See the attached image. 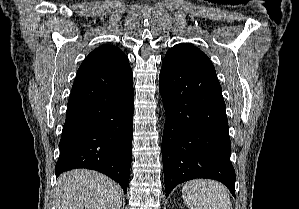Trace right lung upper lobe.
Instances as JSON below:
<instances>
[{
    "mask_svg": "<svg viewBox=\"0 0 299 209\" xmlns=\"http://www.w3.org/2000/svg\"><path fill=\"white\" fill-rule=\"evenodd\" d=\"M114 70L121 77L132 73L126 55L113 45H103L93 50L82 62L78 72Z\"/></svg>",
    "mask_w": 299,
    "mask_h": 209,
    "instance_id": "1",
    "label": "right lung upper lobe"
}]
</instances>
